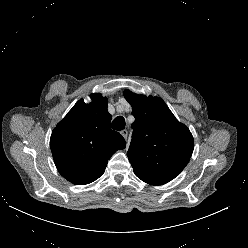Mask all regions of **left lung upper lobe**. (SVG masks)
<instances>
[{
    "instance_id": "5c2ea615",
    "label": "left lung upper lobe",
    "mask_w": 248,
    "mask_h": 248,
    "mask_svg": "<svg viewBox=\"0 0 248 248\" xmlns=\"http://www.w3.org/2000/svg\"><path fill=\"white\" fill-rule=\"evenodd\" d=\"M135 121L127 152L135 175L145 183L162 185L184 169L193 152V136L161 98L124 91Z\"/></svg>"
}]
</instances>
